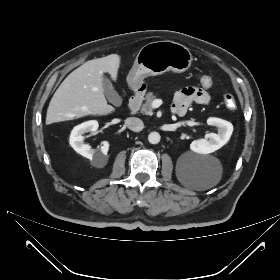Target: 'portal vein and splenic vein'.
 I'll return each mask as SVG.
<instances>
[{"mask_svg":"<svg viewBox=\"0 0 280 280\" xmlns=\"http://www.w3.org/2000/svg\"><path fill=\"white\" fill-rule=\"evenodd\" d=\"M161 105V101L156 99L152 102V107L153 108H158Z\"/></svg>","mask_w":280,"mask_h":280,"instance_id":"portal-vein-and-splenic-vein-1","label":"portal vein and splenic vein"}]
</instances>
